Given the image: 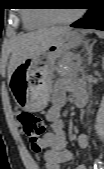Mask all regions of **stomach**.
Here are the masks:
<instances>
[{
    "mask_svg": "<svg viewBox=\"0 0 104 169\" xmlns=\"http://www.w3.org/2000/svg\"><path fill=\"white\" fill-rule=\"evenodd\" d=\"M83 42L84 36L81 33L67 31L20 64L9 80V88L17 106L28 112H39L46 108L52 92L57 60Z\"/></svg>",
    "mask_w": 104,
    "mask_h": 169,
    "instance_id": "stomach-1",
    "label": "stomach"
}]
</instances>
